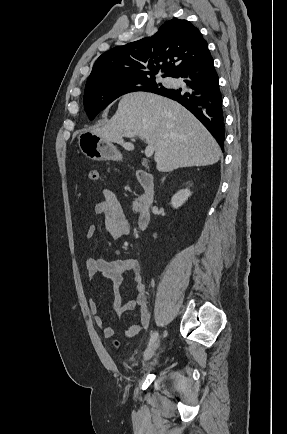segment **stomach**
<instances>
[{
    "label": "stomach",
    "mask_w": 287,
    "mask_h": 434,
    "mask_svg": "<svg viewBox=\"0 0 287 434\" xmlns=\"http://www.w3.org/2000/svg\"><path fill=\"white\" fill-rule=\"evenodd\" d=\"M78 146L87 158L94 161L122 160V154L111 142L90 130L82 131L78 135Z\"/></svg>",
    "instance_id": "stomach-1"
}]
</instances>
